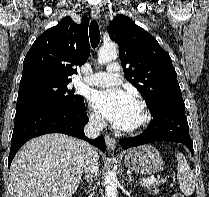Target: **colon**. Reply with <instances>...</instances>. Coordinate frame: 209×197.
<instances>
[{
    "label": "colon",
    "instance_id": "1",
    "mask_svg": "<svg viewBox=\"0 0 209 197\" xmlns=\"http://www.w3.org/2000/svg\"><path fill=\"white\" fill-rule=\"evenodd\" d=\"M174 197H184V196L182 194L177 193L174 195Z\"/></svg>",
    "mask_w": 209,
    "mask_h": 197
}]
</instances>
